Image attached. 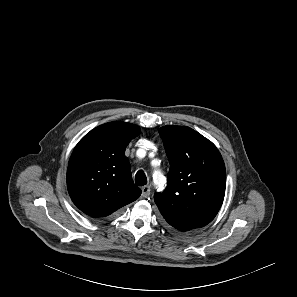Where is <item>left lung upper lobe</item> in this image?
Masks as SVG:
<instances>
[{
	"label": "left lung upper lobe",
	"instance_id": "5c2ea615",
	"mask_svg": "<svg viewBox=\"0 0 297 297\" xmlns=\"http://www.w3.org/2000/svg\"><path fill=\"white\" fill-rule=\"evenodd\" d=\"M160 135L170 162L167 189L154 200L166 222L180 231L201 228L224 199L226 169L216 146L185 126H163Z\"/></svg>",
	"mask_w": 297,
	"mask_h": 297
}]
</instances>
